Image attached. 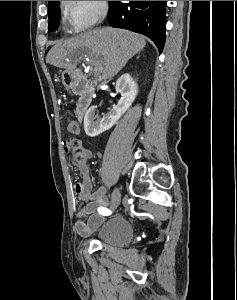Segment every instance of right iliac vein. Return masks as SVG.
Here are the masks:
<instances>
[{"label":"right iliac vein","mask_w":237,"mask_h":300,"mask_svg":"<svg viewBox=\"0 0 237 300\" xmlns=\"http://www.w3.org/2000/svg\"><path fill=\"white\" fill-rule=\"evenodd\" d=\"M120 202V193H119V189L115 188L111 202H110V208L112 210H114L115 208H117V206L119 205Z\"/></svg>","instance_id":"right-iliac-vein-1"}]
</instances>
